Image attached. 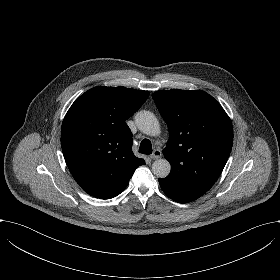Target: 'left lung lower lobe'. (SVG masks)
I'll return each instance as SVG.
<instances>
[{
	"label": "left lung lower lobe",
	"mask_w": 280,
	"mask_h": 280,
	"mask_svg": "<svg viewBox=\"0 0 280 280\" xmlns=\"http://www.w3.org/2000/svg\"><path fill=\"white\" fill-rule=\"evenodd\" d=\"M160 186L164 193L171 198L172 200L178 203H188L194 201L205 194L207 191H177L173 185L163 181L161 178L159 179Z\"/></svg>",
	"instance_id": "0a47b994"
}]
</instances>
